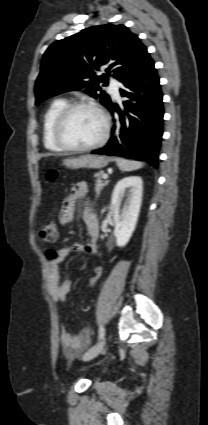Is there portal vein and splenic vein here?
I'll list each match as a JSON object with an SVG mask.
<instances>
[{
    "mask_svg": "<svg viewBox=\"0 0 208 425\" xmlns=\"http://www.w3.org/2000/svg\"><path fill=\"white\" fill-rule=\"evenodd\" d=\"M103 179H108V175L107 174H103Z\"/></svg>",
    "mask_w": 208,
    "mask_h": 425,
    "instance_id": "obj_1",
    "label": "portal vein and splenic vein"
}]
</instances>
